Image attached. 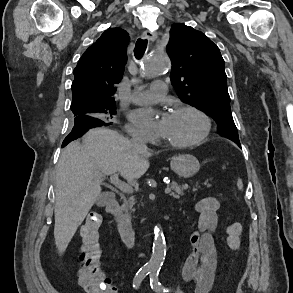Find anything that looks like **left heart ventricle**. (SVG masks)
<instances>
[{"instance_id": "obj_1", "label": "left heart ventricle", "mask_w": 293, "mask_h": 293, "mask_svg": "<svg viewBox=\"0 0 293 293\" xmlns=\"http://www.w3.org/2000/svg\"><path fill=\"white\" fill-rule=\"evenodd\" d=\"M202 130L203 122L193 112H172L162 136L165 140L185 142L197 138Z\"/></svg>"}]
</instances>
